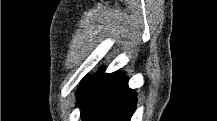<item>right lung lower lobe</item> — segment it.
I'll list each match as a JSON object with an SVG mask.
<instances>
[{
  "instance_id": "1",
  "label": "right lung lower lobe",
  "mask_w": 217,
  "mask_h": 121,
  "mask_svg": "<svg viewBox=\"0 0 217 121\" xmlns=\"http://www.w3.org/2000/svg\"><path fill=\"white\" fill-rule=\"evenodd\" d=\"M77 97L85 121H130L137 101L123 73L103 70L81 81Z\"/></svg>"
}]
</instances>
